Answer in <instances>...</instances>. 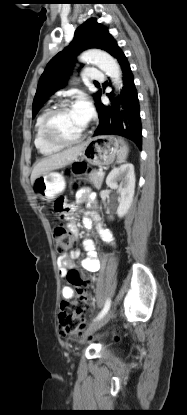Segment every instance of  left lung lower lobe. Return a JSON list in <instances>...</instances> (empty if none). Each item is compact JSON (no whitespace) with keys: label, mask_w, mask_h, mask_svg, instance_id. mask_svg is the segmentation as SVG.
<instances>
[{"label":"left lung lower lobe","mask_w":187,"mask_h":415,"mask_svg":"<svg viewBox=\"0 0 187 415\" xmlns=\"http://www.w3.org/2000/svg\"><path fill=\"white\" fill-rule=\"evenodd\" d=\"M108 53L116 58L120 64L124 86L119 96L120 102H113V109L105 107L101 103L100 97L96 101L99 125L94 132V136H124L131 139L141 149L142 127L139 101L130 65L115 40L110 45ZM107 96L113 101L112 93L107 94Z\"/></svg>","instance_id":"0a47b994"}]
</instances>
